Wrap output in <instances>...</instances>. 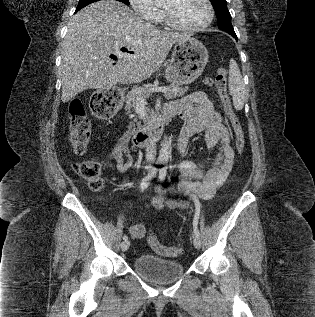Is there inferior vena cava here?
Masks as SVG:
<instances>
[{
  "label": "inferior vena cava",
  "instance_id": "obj_1",
  "mask_svg": "<svg viewBox=\"0 0 315 317\" xmlns=\"http://www.w3.org/2000/svg\"><path fill=\"white\" fill-rule=\"evenodd\" d=\"M146 161L149 163H153L156 159V143L154 140L148 141L146 144Z\"/></svg>",
  "mask_w": 315,
  "mask_h": 317
}]
</instances>
